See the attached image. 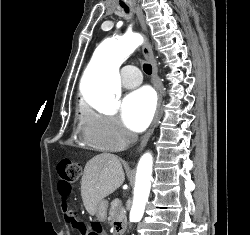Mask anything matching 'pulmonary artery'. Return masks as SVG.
Returning a JSON list of instances; mask_svg holds the SVG:
<instances>
[{
	"instance_id": "1",
	"label": "pulmonary artery",
	"mask_w": 250,
	"mask_h": 235,
	"mask_svg": "<svg viewBox=\"0 0 250 235\" xmlns=\"http://www.w3.org/2000/svg\"><path fill=\"white\" fill-rule=\"evenodd\" d=\"M122 85L125 88L131 89L138 86L142 82V77L139 69L133 65H127L122 69Z\"/></svg>"
}]
</instances>
